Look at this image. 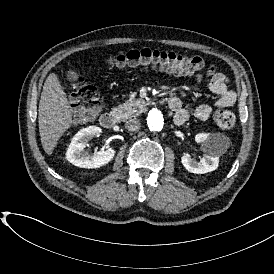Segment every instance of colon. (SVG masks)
Instances as JSON below:
<instances>
[{
    "label": "colon",
    "instance_id": "colon-1",
    "mask_svg": "<svg viewBox=\"0 0 274 274\" xmlns=\"http://www.w3.org/2000/svg\"><path fill=\"white\" fill-rule=\"evenodd\" d=\"M107 63L120 68L140 66L178 74H189L206 67L204 59L199 55L149 48L131 49L110 56ZM68 96L70 103L77 110L78 118H86L99 109L96 87L80 77L73 79ZM214 121L218 128L229 131L235 127L236 116L231 109L221 108L215 113Z\"/></svg>",
    "mask_w": 274,
    "mask_h": 274
}]
</instances>
